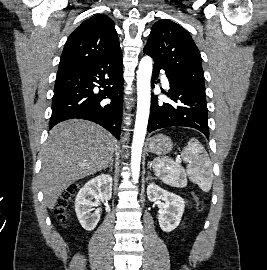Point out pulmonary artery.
I'll return each instance as SVG.
<instances>
[{
  "mask_svg": "<svg viewBox=\"0 0 267 270\" xmlns=\"http://www.w3.org/2000/svg\"><path fill=\"white\" fill-rule=\"evenodd\" d=\"M161 80H162L163 86L165 88H169V81H168L167 77L166 76H162Z\"/></svg>",
  "mask_w": 267,
  "mask_h": 270,
  "instance_id": "obj_1",
  "label": "pulmonary artery"
}]
</instances>
